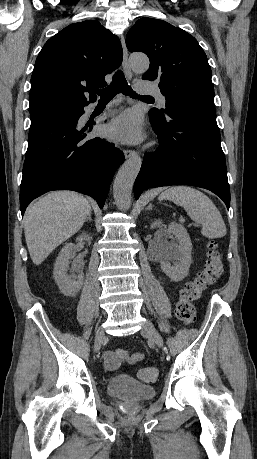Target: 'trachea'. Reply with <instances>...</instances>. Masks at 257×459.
<instances>
[{"instance_id":"1","label":"trachea","mask_w":257,"mask_h":459,"mask_svg":"<svg viewBox=\"0 0 257 459\" xmlns=\"http://www.w3.org/2000/svg\"><path fill=\"white\" fill-rule=\"evenodd\" d=\"M121 92L122 94L130 97H141V98H151V96H140L137 95L128 85L125 76L121 70H118L114 76L112 83L104 88L97 91V94L100 96V102L110 101L113 97L118 93Z\"/></svg>"}]
</instances>
